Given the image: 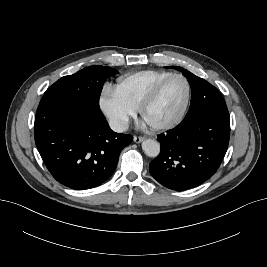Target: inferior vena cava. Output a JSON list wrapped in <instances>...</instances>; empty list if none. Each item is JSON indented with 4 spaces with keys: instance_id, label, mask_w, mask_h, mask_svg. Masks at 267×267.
Returning <instances> with one entry per match:
<instances>
[{
    "instance_id": "1",
    "label": "inferior vena cava",
    "mask_w": 267,
    "mask_h": 267,
    "mask_svg": "<svg viewBox=\"0 0 267 267\" xmlns=\"http://www.w3.org/2000/svg\"><path fill=\"white\" fill-rule=\"evenodd\" d=\"M111 129L115 132L121 133L128 130V122L124 118H113L109 120Z\"/></svg>"
}]
</instances>
